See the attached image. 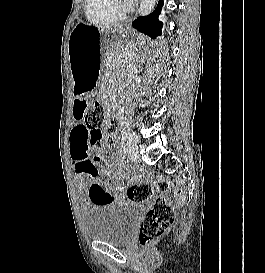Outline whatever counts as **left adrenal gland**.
Masks as SVG:
<instances>
[{
    "label": "left adrenal gland",
    "instance_id": "left-adrenal-gland-1",
    "mask_svg": "<svg viewBox=\"0 0 265 273\" xmlns=\"http://www.w3.org/2000/svg\"><path fill=\"white\" fill-rule=\"evenodd\" d=\"M144 57H146V55H143V58H142V59H144ZM137 59H139V55L136 56V60H137Z\"/></svg>",
    "mask_w": 265,
    "mask_h": 273
}]
</instances>
